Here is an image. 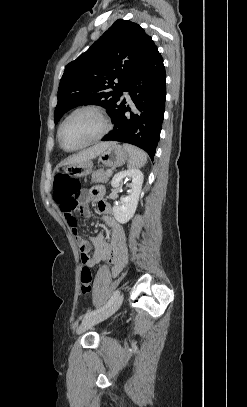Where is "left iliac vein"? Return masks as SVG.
<instances>
[{
  "label": "left iliac vein",
  "instance_id": "4c4485c4",
  "mask_svg": "<svg viewBox=\"0 0 247 407\" xmlns=\"http://www.w3.org/2000/svg\"><path fill=\"white\" fill-rule=\"evenodd\" d=\"M122 302H123V295H120L117 297V299L113 302V304L109 308H107L106 310H104L94 316L84 319L82 321V323L79 325V327L77 328V334L78 335L82 334L83 332H85L86 330H88L89 328L94 326L95 324L112 316L120 308Z\"/></svg>",
  "mask_w": 247,
  "mask_h": 407
}]
</instances>
